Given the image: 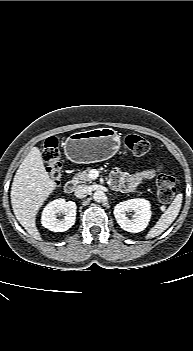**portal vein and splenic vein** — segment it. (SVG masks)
Masks as SVG:
<instances>
[{
  "instance_id": "18ae733b",
  "label": "portal vein and splenic vein",
  "mask_w": 193,
  "mask_h": 351,
  "mask_svg": "<svg viewBox=\"0 0 193 351\" xmlns=\"http://www.w3.org/2000/svg\"><path fill=\"white\" fill-rule=\"evenodd\" d=\"M98 176H99V172H98L97 170L92 169V170L90 171V177H91L92 179H96Z\"/></svg>"
}]
</instances>
